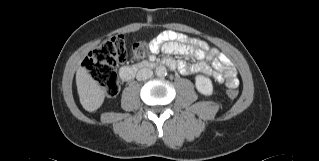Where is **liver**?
Instances as JSON below:
<instances>
[{
  "label": "liver",
  "instance_id": "obj_1",
  "mask_svg": "<svg viewBox=\"0 0 319 161\" xmlns=\"http://www.w3.org/2000/svg\"><path fill=\"white\" fill-rule=\"evenodd\" d=\"M76 85L80 103L85 110L93 112L103 104L105 91L92 78L85 67H78L76 71Z\"/></svg>",
  "mask_w": 319,
  "mask_h": 161
}]
</instances>
